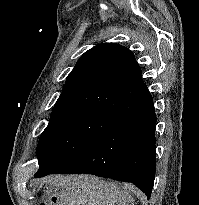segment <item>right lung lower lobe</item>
I'll return each instance as SVG.
<instances>
[{"label": "right lung lower lobe", "mask_w": 199, "mask_h": 205, "mask_svg": "<svg viewBox=\"0 0 199 205\" xmlns=\"http://www.w3.org/2000/svg\"><path fill=\"white\" fill-rule=\"evenodd\" d=\"M130 89L143 99L144 105L50 174L86 173L131 182L150 198L155 178L157 118L144 82L131 85Z\"/></svg>", "instance_id": "right-lung-lower-lobe-1"}]
</instances>
